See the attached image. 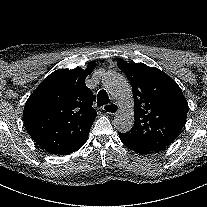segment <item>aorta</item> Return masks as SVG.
<instances>
[{"mask_svg":"<svg viewBox=\"0 0 207 207\" xmlns=\"http://www.w3.org/2000/svg\"><path fill=\"white\" fill-rule=\"evenodd\" d=\"M106 91L118 102L120 110L114 117L115 128L122 133L130 131L134 124V100L128 80L117 72H107L103 76Z\"/></svg>","mask_w":207,"mask_h":207,"instance_id":"aorta-1","label":"aorta"}]
</instances>
